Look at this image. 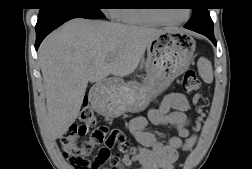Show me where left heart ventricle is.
Listing matches in <instances>:
<instances>
[{"label": "left heart ventricle", "instance_id": "b2bd125f", "mask_svg": "<svg viewBox=\"0 0 252 169\" xmlns=\"http://www.w3.org/2000/svg\"><path fill=\"white\" fill-rule=\"evenodd\" d=\"M186 13L184 9H172V10H165L161 14V16L165 19L171 21H179L185 17Z\"/></svg>", "mask_w": 252, "mask_h": 169}]
</instances>
